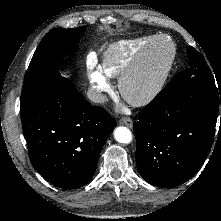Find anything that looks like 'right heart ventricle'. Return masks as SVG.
<instances>
[{
	"label": "right heart ventricle",
	"mask_w": 221,
	"mask_h": 221,
	"mask_svg": "<svg viewBox=\"0 0 221 221\" xmlns=\"http://www.w3.org/2000/svg\"><path fill=\"white\" fill-rule=\"evenodd\" d=\"M155 37L142 36L112 44L104 53L102 73L108 78L122 76L140 60L144 50Z\"/></svg>",
	"instance_id": "obj_1"
}]
</instances>
